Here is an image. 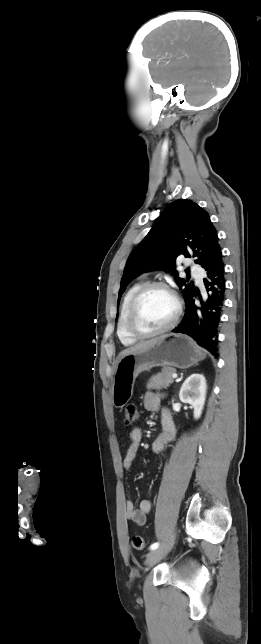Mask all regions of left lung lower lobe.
I'll use <instances>...</instances> for the list:
<instances>
[{
  "label": "left lung lower lobe",
  "mask_w": 261,
  "mask_h": 644,
  "mask_svg": "<svg viewBox=\"0 0 261 644\" xmlns=\"http://www.w3.org/2000/svg\"><path fill=\"white\" fill-rule=\"evenodd\" d=\"M207 276L203 279L207 293L203 296L196 290L186 301L183 321L173 330L192 337L200 346L215 357L218 355V326L224 304L225 279L222 252L215 255L204 268ZM197 295L199 303L195 304Z\"/></svg>",
  "instance_id": "left-lung-lower-lobe-1"
}]
</instances>
